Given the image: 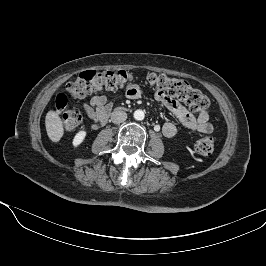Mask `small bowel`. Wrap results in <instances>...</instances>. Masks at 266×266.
Instances as JSON below:
<instances>
[{
    "mask_svg": "<svg viewBox=\"0 0 266 266\" xmlns=\"http://www.w3.org/2000/svg\"><path fill=\"white\" fill-rule=\"evenodd\" d=\"M142 95L141 89L136 85H130L126 88L124 96L129 99H138ZM154 97L170 110L183 127L191 132L209 134L213 131V126L209 121L208 112L199 113L197 117L192 115L187 108L176 99L156 91ZM111 102L105 95H98L91 98L89 103L83 105V109L91 121L93 127L104 123V119L109 113ZM177 132V127L173 122H165L162 126V133L165 137L171 138Z\"/></svg>",
    "mask_w": 266,
    "mask_h": 266,
    "instance_id": "small-bowel-1",
    "label": "small bowel"
}]
</instances>
